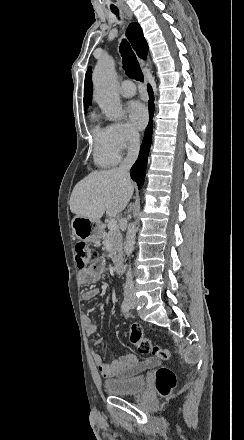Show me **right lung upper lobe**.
<instances>
[{
	"label": "right lung upper lobe",
	"instance_id": "right-lung-upper-lobe-1",
	"mask_svg": "<svg viewBox=\"0 0 244 440\" xmlns=\"http://www.w3.org/2000/svg\"><path fill=\"white\" fill-rule=\"evenodd\" d=\"M127 36L136 50L138 56L146 58L148 53L147 41L138 23H131L127 29ZM92 101V71L89 68L86 72L84 83V109H87Z\"/></svg>",
	"mask_w": 244,
	"mask_h": 440
}]
</instances>
